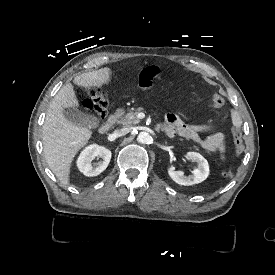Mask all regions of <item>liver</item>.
I'll list each match as a JSON object with an SVG mask.
<instances>
[{
	"mask_svg": "<svg viewBox=\"0 0 275 275\" xmlns=\"http://www.w3.org/2000/svg\"><path fill=\"white\" fill-rule=\"evenodd\" d=\"M113 75L108 67L86 72L73 79L80 88L98 89L111 83ZM80 107L72 83L65 84L53 100L43 125L44 155L51 171L64 185L70 184L72 162L93 137V130L68 120L64 112Z\"/></svg>",
	"mask_w": 275,
	"mask_h": 275,
	"instance_id": "obj_1",
	"label": "liver"
}]
</instances>
